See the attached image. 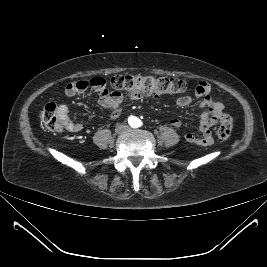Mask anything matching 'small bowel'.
Returning a JSON list of instances; mask_svg holds the SVG:
<instances>
[{
	"label": "small bowel",
	"mask_w": 267,
	"mask_h": 267,
	"mask_svg": "<svg viewBox=\"0 0 267 267\" xmlns=\"http://www.w3.org/2000/svg\"><path fill=\"white\" fill-rule=\"evenodd\" d=\"M88 88L93 89L98 94L105 89L104 80L102 78H93L90 81L71 82L66 86L65 92L69 96H74L84 92ZM210 91V85L207 82L200 81L195 88L194 96L185 95L180 97L176 102L178 107L184 108L192 102L193 97L201 99L200 108L203 112L198 126L201 135L199 137L190 133L185 135L187 142L199 146H210L214 143L211 128L218 123L221 115L224 114L223 103L212 98ZM98 103L101 107L109 111V117L111 119H115L121 113L122 95L113 91L107 92L105 95L98 94ZM57 113L62 124V129L73 133L83 129L81 123L71 120L69 108L66 104H59L57 106ZM171 125L178 128L182 125V121L179 118H174L171 120Z\"/></svg>",
	"instance_id": "1"
}]
</instances>
